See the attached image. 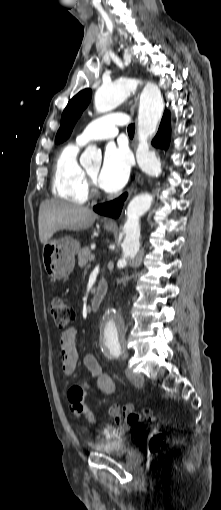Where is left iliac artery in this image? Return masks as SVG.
I'll use <instances>...</instances> for the list:
<instances>
[{"instance_id":"obj_1","label":"left iliac artery","mask_w":221,"mask_h":510,"mask_svg":"<svg viewBox=\"0 0 221 510\" xmlns=\"http://www.w3.org/2000/svg\"><path fill=\"white\" fill-rule=\"evenodd\" d=\"M111 354L115 357H119L121 354L120 346H115L114 349L111 351Z\"/></svg>"}]
</instances>
